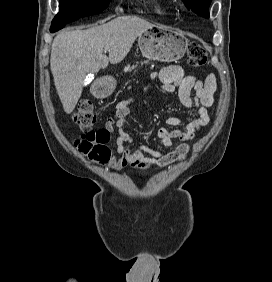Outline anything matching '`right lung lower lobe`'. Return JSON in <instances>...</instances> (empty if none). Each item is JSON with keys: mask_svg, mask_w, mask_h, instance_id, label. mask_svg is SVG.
Returning <instances> with one entry per match:
<instances>
[{"mask_svg": "<svg viewBox=\"0 0 272 282\" xmlns=\"http://www.w3.org/2000/svg\"><path fill=\"white\" fill-rule=\"evenodd\" d=\"M66 24H67V23L59 24V25H56V26H51L50 31H51L52 33H54V32H56V31L62 29Z\"/></svg>", "mask_w": 272, "mask_h": 282, "instance_id": "1", "label": "right lung lower lobe"}]
</instances>
